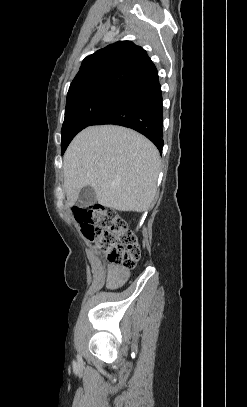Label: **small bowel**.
<instances>
[{"instance_id": "1", "label": "small bowel", "mask_w": 247, "mask_h": 407, "mask_svg": "<svg viewBox=\"0 0 247 407\" xmlns=\"http://www.w3.org/2000/svg\"><path fill=\"white\" fill-rule=\"evenodd\" d=\"M107 269L106 284L110 288H116L123 285L131 276L130 269L115 265L105 264Z\"/></svg>"}]
</instances>
